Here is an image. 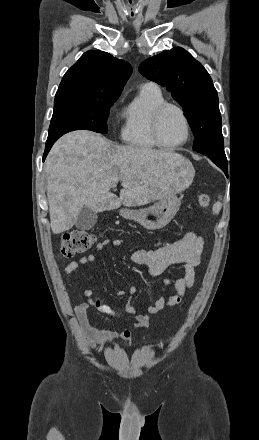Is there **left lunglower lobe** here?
<instances>
[{
    "label": "left lung lower lobe",
    "instance_id": "left-lung-lower-lobe-1",
    "mask_svg": "<svg viewBox=\"0 0 259 440\" xmlns=\"http://www.w3.org/2000/svg\"><path fill=\"white\" fill-rule=\"evenodd\" d=\"M206 156H208L218 167H220L225 172V174H227L228 168L225 154L220 156L206 154Z\"/></svg>",
    "mask_w": 259,
    "mask_h": 440
}]
</instances>
